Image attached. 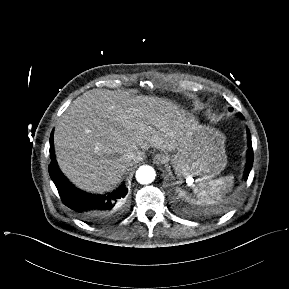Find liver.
Masks as SVG:
<instances>
[{
    "label": "liver",
    "instance_id": "liver-1",
    "mask_svg": "<svg viewBox=\"0 0 289 289\" xmlns=\"http://www.w3.org/2000/svg\"><path fill=\"white\" fill-rule=\"evenodd\" d=\"M193 119L164 98L118 96L92 89L74 100L54 131L58 165L81 190L103 193L119 183L130 165L125 155L150 147L173 151Z\"/></svg>",
    "mask_w": 289,
    "mask_h": 289
}]
</instances>
